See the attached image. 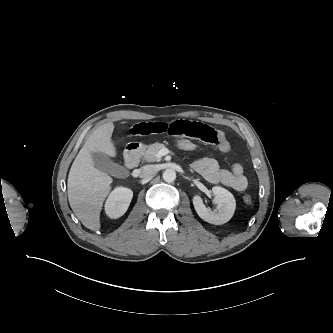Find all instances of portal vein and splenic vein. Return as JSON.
I'll return each mask as SVG.
<instances>
[{
    "instance_id": "18ae733b",
    "label": "portal vein and splenic vein",
    "mask_w": 333,
    "mask_h": 333,
    "mask_svg": "<svg viewBox=\"0 0 333 333\" xmlns=\"http://www.w3.org/2000/svg\"><path fill=\"white\" fill-rule=\"evenodd\" d=\"M168 153H170L169 149L163 148L160 151H158L157 156L158 157H162V156L167 155Z\"/></svg>"
}]
</instances>
